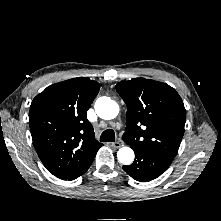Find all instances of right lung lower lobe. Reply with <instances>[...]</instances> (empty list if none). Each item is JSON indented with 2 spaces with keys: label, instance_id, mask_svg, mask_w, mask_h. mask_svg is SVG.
<instances>
[{
  "label": "right lung lower lobe",
  "instance_id": "98d812e1",
  "mask_svg": "<svg viewBox=\"0 0 221 221\" xmlns=\"http://www.w3.org/2000/svg\"><path fill=\"white\" fill-rule=\"evenodd\" d=\"M91 163H92V161L80 173H78L77 175H75L69 179H66V180H74V179L78 178L79 176H81L82 174H84L88 170V168L90 167Z\"/></svg>",
  "mask_w": 221,
  "mask_h": 221
}]
</instances>
